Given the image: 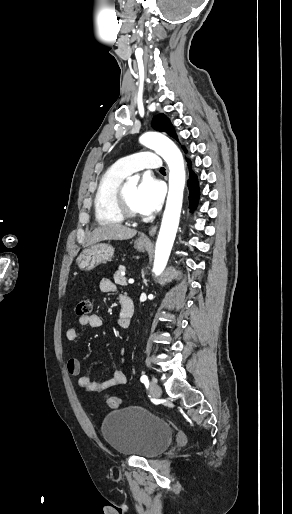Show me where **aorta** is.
Here are the masks:
<instances>
[{"label":"aorta","mask_w":292,"mask_h":514,"mask_svg":"<svg viewBox=\"0 0 292 514\" xmlns=\"http://www.w3.org/2000/svg\"><path fill=\"white\" fill-rule=\"evenodd\" d=\"M140 144L155 150L159 154L169 168V192L167 196L166 208L156 242L154 272L156 276H160L166 268L169 260L170 252L174 244L176 232L179 226L183 192L185 186V168L183 156L166 136L157 134V132H146L139 138ZM138 178L132 176L128 178V186H136Z\"/></svg>","instance_id":"1"}]
</instances>
